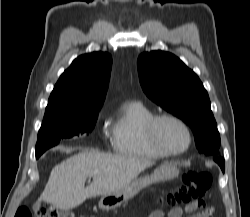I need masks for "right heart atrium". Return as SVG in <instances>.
Segmentation results:
<instances>
[{
    "label": "right heart atrium",
    "mask_w": 250,
    "mask_h": 217,
    "mask_svg": "<svg viewBox=\"0 0 250 217\" xmlns=\"http://www.w3.org/2000/svg\"><path fill=\"white\" fill-rule=\"evenodd\" d=\"M101 116H102V113L99 114V117H101Z\"/></svg>",
    "instance_id": "d8ad5b80"
}]
</instances>
